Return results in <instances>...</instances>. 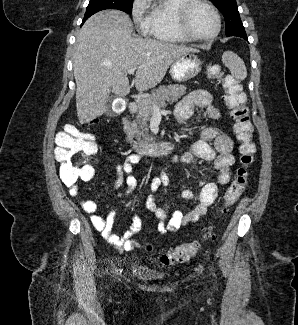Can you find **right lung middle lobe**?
Listing matches in <instances>:
<instances>
[{"label": "right lung middle lobe", "mask_w": 298, "mask_h": 325, "mask_svg": "<svg viewBox=\"0 0 298 325\" xmlns=\"http://www.w3.org/2000/svg\"><path fill=\"white\" fill-rule=\"evenodd\" d=\"M133 0H90L83 20L104 9H118L132 13Z\"/></svg>", "instance_id": "right-lung-middle-lobe-1"}]
</instances>
